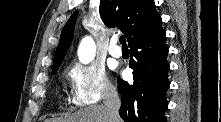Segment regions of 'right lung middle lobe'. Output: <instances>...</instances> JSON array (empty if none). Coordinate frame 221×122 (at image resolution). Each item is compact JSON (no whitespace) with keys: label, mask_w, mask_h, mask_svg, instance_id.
Returning <instances> with one entry per match:
<instances>
[{"label":"right lung middle lobe","mask_w":221,"mask_h":122,"mask_svg":"<svg viewBox=\"0 0 221 122\" xmlns=\"http://www.w3.org/2000/svg\"><path fill=\"white\" fill-rule=\"evenodd\" d=\"M56 71H57V70H53V71H52V74H55V73H56Z\"/></svg>","instance_id":"obj_1"}]
</instances>
